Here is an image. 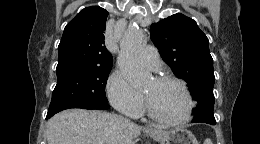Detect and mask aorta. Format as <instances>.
Listing matches in <instances>:
<instances>
[{
  "mask_svg": "<svg viewBox=\"0 0 260 144\" xmlns=\"http://www.w3.org/2000/svg\"><path fill=\"white\" fill-rule=\"evenodd\" d=\"M144 46V34L140 29L127 30L120 39V53L117 64L122 75L133 86H141L150 78V73L145 72L139 65L138 55Z\"/></svg>",
  "mask_w": 260,
  "mask_h": 144,
  "instance_id": "762f6f07",
  "label": "aorta"
}]
</instances>
